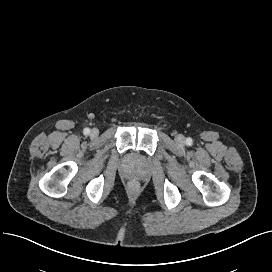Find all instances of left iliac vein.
<instances>
[{
  "instance_id": "obj_1",
  "label": "left iliac vein",
  "mask_w": 272,
  "mask_h": 272,
  "mask_svg": "<svg viewBox=\"0 0 272 272\" xmlns=\"http://www.w3.org/2000/svg\"><path fill=\"white\" fill-rule=\"evenodd\" d=\"M176 142L180 145H183L185 143V138L183 135L179 134L175 138Z\"/></svg>"
}]
</instances>
